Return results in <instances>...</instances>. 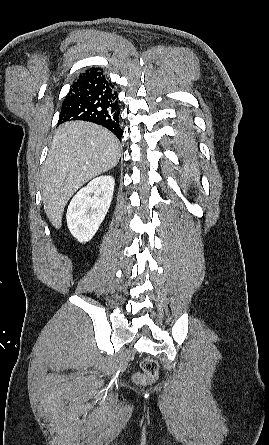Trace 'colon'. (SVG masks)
<instances>
[{
	"instance_id": "5ec220e1",
	"label": "colon",
	"mask_w": 269,
	"mask_h": 445,
	"mask_svg": "<svg viewBox=\"0 0 269 445\" xmlns=\"http://www.w3.org/2000/svg\"><path fill=\"white\" fill-rule=\"evenodd\" d=\"M142 372L135 376L139 383H148L155 379L158 374V364L154 359L145 358L141 362Z\"/></svg>"
}]
</instances>
